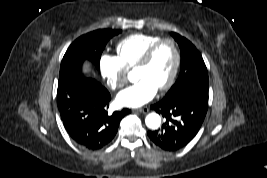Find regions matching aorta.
Here are the masks:
<instances>
[{
  "label": "aorta",
  "instance_id": "obj_1",
  "mask_svg": "<svg viewBox=\"0 0 267 178\" xmlns=\"http://www.w3.org/2000/svg\"><path fill=\"white\" fill-rule=\"evenodd\" d=\"M145 123L152 130L158 129L161 125V117L157 113H150L146 116Z\"/></svg>",
  "mask_w": 267,
  "mask_h": 178
}]
</instances>
